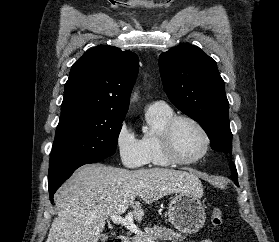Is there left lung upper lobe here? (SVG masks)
Segmentation results:
<instances>
[{
	"label": "left lung upper lobe",
	"mask_w": 279,
	"mask_h": 242,
	"mask_svg": "<svg viewBox=\"0 0 279 242\" xmlns=\"http://www.w3.org/2000/svg\"><path fill=\"white\" fill-rule=\"evenodd\" d=\"M159 68L170 101L202 126L213 150L231 154L229 103L216 62L199 47L185 44L161 53ZM229 166L238 186L235 165Z\"/></svg>",
	"instance_id": "1"
}]
</instances>
